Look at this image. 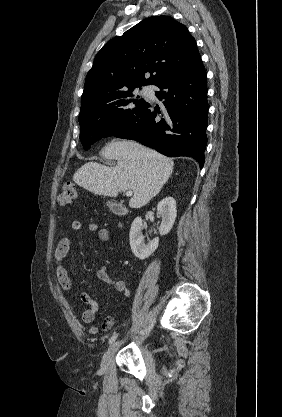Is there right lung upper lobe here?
<instances>
[{
  "label": "right lung upper lobe",
  "mask_w": 282,
  "mask_h": 417,
  "mask_svg": "<svg viewBox=\"0 0 282 417\" xmlns=\"http://www.w3.org/2000/svg\"><path fill=\"white\" fill-rule=\"evenodd\" d=\"M201 61L185 25L170 16L145 19L98 52L85 80L82 100L145 85L158 86L176 72ZM150 78L145 79V73Z\"/></svg>",
  "instance_id": "obj_1"
}]
</instances>
